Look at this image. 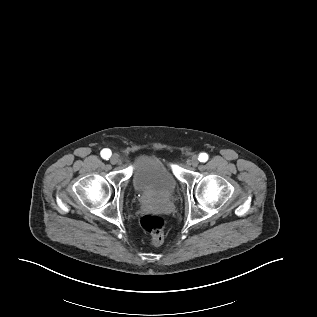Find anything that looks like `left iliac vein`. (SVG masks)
Returning <instances> with one entry per match:
<instances>
[{"label": "left iliac vein", "mask_w": 317, "mask_h": 317, "mask_svg": "<svg viewBox=\"0 0 317 317\" xmlns=\"http://www.w3.org/2000/svg\"><path fill=\"white\" fill-rule=\"evenodd\" d=\"M199 164V160L198 157L196 155L192 156L189 160V165L193 166V167H197Z\"/></svg>", "instance_id": "4c4485c4"}]
</instances>
